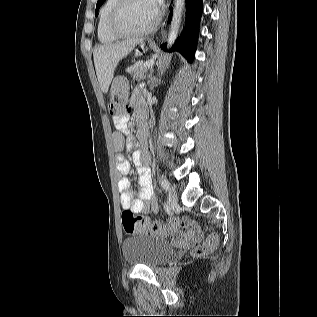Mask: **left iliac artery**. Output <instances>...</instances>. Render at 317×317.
<instances>
[{
    "mask_svg": "<svg viewBox=\"0 0 317 317\" xmlns=\"http://www.w3.org/2000/svg\"><path fill=\"white\" fill-rule=\"evenodd\" d=\"M160 184H161V186H162V188H163L164 190H168V188H169V182H168L167 179L161 178V179H160Z\"/></svg>",
    "mask_w": 317,
    "mask_h": 317,
    "instance_id": "obj_1",
    "label": "left iliac artery"
}]
</instances>
